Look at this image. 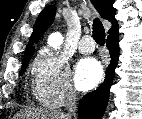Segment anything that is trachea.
Listing matches in <instances>:
<instances>
[{
  "instance_id": "3493384b",
  "label": "trachea",
  "mask_w": 142,
  "mask_h": 119,
  "mask_svg": "<svg viewBox=\"0 0 142 119\" xmlns=\"http://www.w3.org/2000/svg\"><path fill=\"white\" fill-rule=\"evenodd\" d=\"M93 38L99 45H104L105 43V30L101 21L96 18L93 23Z\"/></svg>"
}]
</instances>
